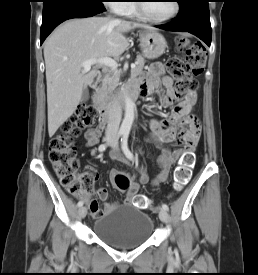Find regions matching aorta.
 <instances>
[{"instance_id": "1", "label": "aorta", "mask_w": 258, "mask_h": 275, "mask_svg": "<svg viewBox=\"0 0 258 275\" xmlns=\"http://www.w3.org/2000/svg\"><path fill=\"white\" fill-rule=\"evenodd\" d=\"M124 102H125V116L121 124V132L129 133L134 121V109L135 104L132 99L124 93Z\"/></svg>"}]
</instances>
